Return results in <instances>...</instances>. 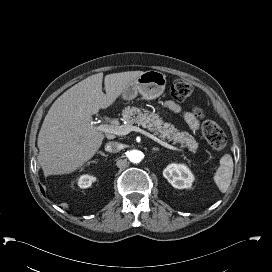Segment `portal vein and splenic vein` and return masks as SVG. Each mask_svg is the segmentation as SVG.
<instances>
[{
	"instance_id": "1",
	"label": "portal vein and splenic vein",
	"mask_w": 272,
	"mask_h": 272,
	"mask_svg": "<svg viewBox=\"0 0 272 272\" xmlns=\"http://www.w3.org/2000/svg\"><path fill=\"white\" fill-rule=\"evenodd\" d=\"M96 129L98 131H101L104 133H109V134H114V135H119V136L127 135L131 131H135V132L141 133V134L149 137L150 139L156 141L157 143L161 144L162 146H164L170 150L179 151V152L183 151V149L172 146V145L160 140L159 138H157L153 134H151V133H149V132H147L137 126H132V125L117 126V125H109V124H100L96 127Z\"/></svg>"
}]
</instances>
